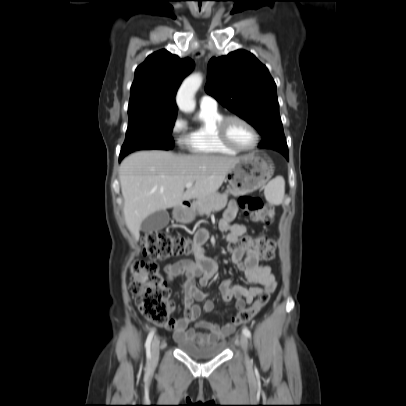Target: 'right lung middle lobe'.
I'll list each match as a JSON object with an SVG mask.
<instances>
[{
  "label": "right lung middle lobe",
  "instance_id": "dd1d6c3e",
  "mask_svg": "<svg viewBox=\"0 0 406 406\" xmlns=\"http://www.w3.org/2000/svg\"><path fill=\"white\" fill-rule=\"evenodd\" d=\"M128 115L129 124L120 157L137 150L173 148L171 132L176 114L128 112Z\"/></svg>",
  "mask_w": 406,
  "mask_h": 406
}]
</instances>
